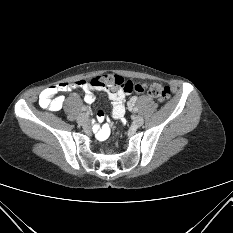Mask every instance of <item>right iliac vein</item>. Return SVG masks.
Returning <instances> with one entry per match:
<instances>
[{"label": "right iliac vein", "mask_w": 233, "mask_h": 233, "mask_svg": "<svg viewBox=\"0 0 233 233\" xmlns=\"http://www.w3.org/2000/svg\"><path fill=\"white\" fill-rule=\"evenodd\" d=\"M77 122H78V124H80V125H85V124H87V123L89 122V117H88V115H87V114H81V115H79L78 118H77Z\"/></svg>", "instance_id": "right-iliac-vein-1"}]
</instances>
